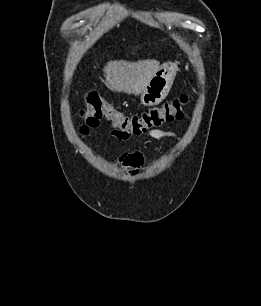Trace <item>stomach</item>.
<instances>
[{
    "mask_svg": "<svg viewBox=\"0 0 261 306\" xmlns=\"http://www.w3.org/2000/svg\"><path fill=\"white\" fill-rule=\"evenodd\" d=\"M177 70V66L172 63H166L160 66L142 91V104L145 106H154L163 101L171 89Z\"/></svg>",
    "mask_w": 261,
    "mask_h": 306,
    "instance_id": "obj_1",
    "label": "stomach"
}]
</instances>
